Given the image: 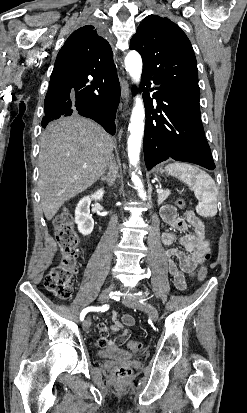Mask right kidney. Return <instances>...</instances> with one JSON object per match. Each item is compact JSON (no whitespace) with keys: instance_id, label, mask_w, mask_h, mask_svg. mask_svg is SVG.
<instances>
[{"instance_id":"obj_1","label":"right kidney","mask_w":247,"mask_h":413,"mask_svg":"<svg viewBox=\"0 0 247 413\" xmlns=\"http://www.w3.org/2000/svg\"><path fill=\"white\" fill-rule=\"evenodd\" d=\"M104 188H98L96 192L90 196H83L80 198L75 209V223L78 227L79 233L82 235H90L94 229V221L90 215L91 200H100L104 196Z\"/></svg>"}]
</instances>
